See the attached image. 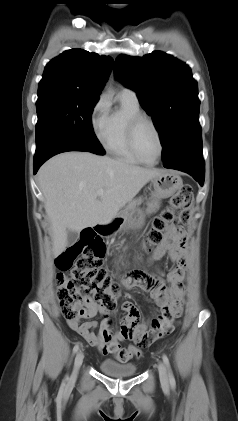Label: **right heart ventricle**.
<instances>
[{
  "mask_svg": "<svg viewBox=\"0 0 238 421\" xmlns=\"http://www.w3.org/2000/svg\"><path fill=\"white\" fill-rule=\"evenodd\" d=\"M118 99L119 106L108 112L100 139L104 148L116 158L129 164H139L130 150L127 129L130 119L141 113L140 105L138 101L121 94Z\"/></svg>",
  "mask_w": 238,
  "mask_h": 421,
  "instance_id": "obj_1",
  "label": "right heart ventricle"
}]
</instances>
